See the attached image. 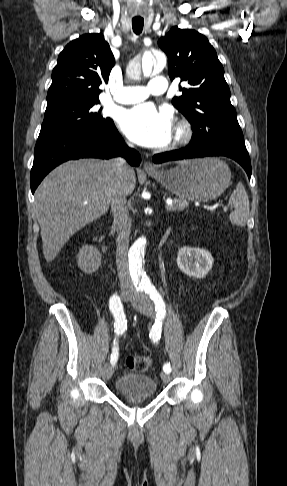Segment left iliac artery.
<instances>
[{
	"instance_id": "44dca946",
	"label": "left iliac artery",
	"mask_w": 287,
	"mask_h": 486,
	"mask_svg": "<svg viewBox=\"0 0 287 486\" xmlns=\"http://www.w3.org/2000/svg\"><path fill=\"white\" fill-rule=\"evenodd\" d=\"M145 293H147L151 300L154 302L155 305V310L157 312L156 314V321L154 326L152 327L150 331V338L154 343H157L158 340L161 337V327H162V320L164 319L166 315V310H165V303L159 294V292L156 290V288L153 285H148L144 287ZM163 371L166 373L171 372V365L170 363L166 362L163 365Z\"/></svg>"
}]
</instances>
